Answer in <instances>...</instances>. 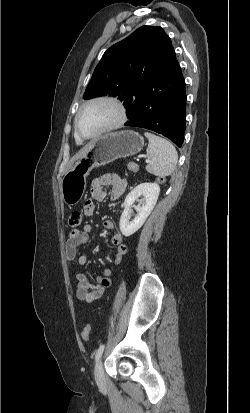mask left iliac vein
Listing matches in <instances>:
<instances>
[{
	"instance_id": "left-iliac-vein-1",
	"label": "left iliac vein",
	"mask_w": 250,
	"mask_h": 413,
	"mask_svg": "<svg viewBox=\"0 0 250 413\" xmlns=\"http://www.w3.org/2000/svg\"><path fill=\"white\" fill-rule=\"evenodd\" d=\"M94 374H95V380L97 385L102 386L105 383V376H104V370H103V365L102 361L99 360L94 369Z\"/></svg>"
}]
</instances>
